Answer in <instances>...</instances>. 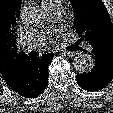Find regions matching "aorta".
<instances>
[{"instance_id":"obj_1","label":"aorta","mask_w":113,"mask_h":113,"mask_svg":"<svg viewBox=\"0 0 113 113\" xmlns=\"http://www.w3.org/2000/svg\"><path fill=\"white\" fill-rule=\"evenodd\" d=\"M24 18L32 19L35 17L34 12L24 10L22 13ZM94 58L88 54L80 53L73 59L74 69L81 74L90 72L94 67Z\"/></svg>"}]
</instances>
